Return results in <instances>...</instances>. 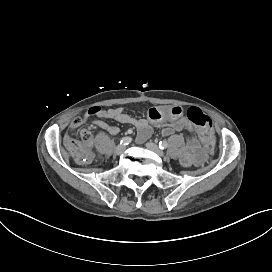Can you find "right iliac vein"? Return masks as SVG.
Segmentation results:
<instances>
[{
  "label": "right iliac vein",
  "instance_id": "right-iliac-vein-1",
  "mask_svg": "<svg viewBox=\"0 0 272 272\" xmlns=\"http://www.w3.org/2000/svg\"><path fill=\"white\" fill-rule=\"evenodd\" d=\"M124 150H125V146L122 145V144H120V145H118V146L115 148L114 153H115L116 155H120L121 153L124 152Z\"/></svg>",
  "mask_w": 272,
  "mask_h": 272
}]
</instances>
